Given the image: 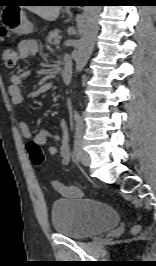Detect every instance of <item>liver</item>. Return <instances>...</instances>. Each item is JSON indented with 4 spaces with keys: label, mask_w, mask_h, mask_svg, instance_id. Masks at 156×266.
I'll return each instance as SVG.
<instances>
[{
    "label": "liver",
    "mask_w": 156,
    "mask_h": 266,
    "mask_svg": "<svg viewBox=\"0 0 156 266\" xmlns=\"http://www.w3.org/2000/svg\"><path fill=\"white\" fill-rule=\"evenodd\" d=\"M27 8L46 21H55L61 10V6H28Z\"/></svg>",
    "instance_id": "1"
}]
</instances>
